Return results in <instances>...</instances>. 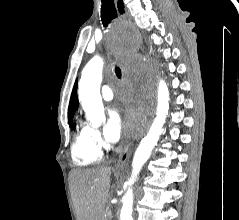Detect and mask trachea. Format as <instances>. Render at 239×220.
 Wrapping results in <instances>:
<instances>
[{"instance_id": "3493384b", "label": "trachea", "mask_w": 239, "mask_h": 220, "mask_svg": "<svg viewBox=\"0 0 239 220\" xmlns=\"http://www.w3.org/2000/svg\"><path fill=\"white\" fill-rule=\"evenodd\" d=\"M101 2V18L103 25L107 27L108 24L117 17V11L113 0H101ZM115 73L118 78H121V70L119 67H115Z\"/></svg>"}]
</instances>
